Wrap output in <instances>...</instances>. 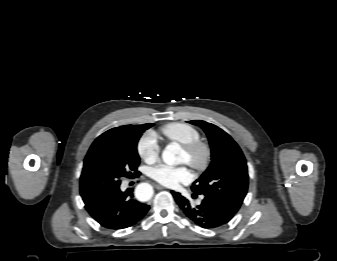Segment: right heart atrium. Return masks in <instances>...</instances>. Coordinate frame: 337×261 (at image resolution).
Listing matches in <instances>:
<instances>
[{
    "label": "right heart atrium",
    "mask_w": 337,
    "mask_h": 261,
    "mask_svg": "<svg viewBox=\"0 0 337 261\" xmlns=\"http://www.w3.org/2000/svg\"><path fill=\"white\" fill-rule=\"evenodd\" d=\"M159 150L157 138L152 132L145 133L137 145L139 156L147 163H154L158 159Z\"/></svg>",
    "instance_id": "obj_1"
}]
</instances>
